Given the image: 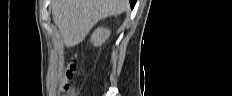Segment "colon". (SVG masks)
I'll return each mask as SVG.
<instances>
[{
  "instance_id": "colon-1",
  "label": "colon",
  "mask_w": 232,
  "mask_h": 96,
  "mask_svg": "<svg viewBox=\"0 0 232 96\" xmlns=\"http://www.w3.org/2000/svg\"><path fill=\"white\" fill-rule=\"evenodd\" d=\"M76 57L72 58V61L67 65L66 67V74L70 78L71 75L76 71L77 69V64H76Z\"/></svg>"
}]
</instances>
